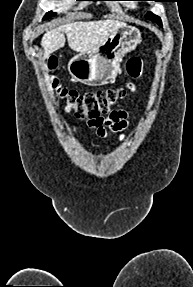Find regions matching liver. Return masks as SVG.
Returning <instances> with one entry per match:
<instances>
[{"instance_id":"1","label":"liver","mask_w":193,"mask_h":287,"mask_svg":"<svg viewBox=\"0 0 193 287\" xmlns=\"http://www.w3.org/2000/svg\"><path fill=\"white\" fill-rule=\"evenodd\" d=\"M124 22L117 20L78 21L46 31L41 40L44 48V59L64 47L65 35L73 51L91 53L102 45Z\"/></svg>"}]
</instances>
